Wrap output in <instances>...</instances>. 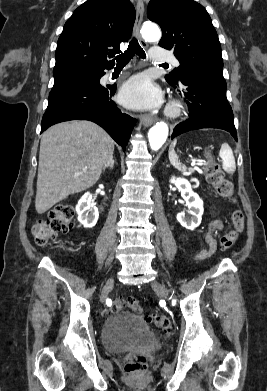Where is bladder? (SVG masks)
<instances>
[{
    "label": "bladder",
    "instance_id": "31cf9c89",
    "mask_svg": "<svg viewBox=\"0 0 267 391\" xmlns=\"http://www.w3.org/2000/svg\"><path fill=\"white\" fill-rule=\"evenodd\" d=\"M158 337L147 329L137 315L117 311L111 314L102 328V342L111 352H123L130 348L158 343Z\"/></svg>",
    "mask_w": 267,
    "mask_h": 391
}]
</instances>
